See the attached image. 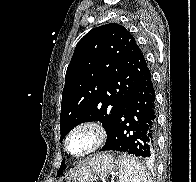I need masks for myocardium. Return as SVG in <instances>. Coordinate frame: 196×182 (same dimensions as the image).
I'll return each mask as SVG.
<instances>
[{"mask_svg":"<svg viewBox=\"0 0 196 182\" xmlns=\"http://www.w3.org/2000/svg\"><path fill=\"white\" fill-rule=\"evenodd\" d=\"M83 131L90 133L92 136V142L85 151L79 154H74L70 150L69 142L76 133ZM106 136V130L100 122L96 120H84L75 124L68 131L64 140V148L70 156L74 158H83L97 151L104 144Z\"/></svg>","mask_w":196,"mask_h":182,"instance_id":"f54148a6","label":"myocardium"}]
</instances>
